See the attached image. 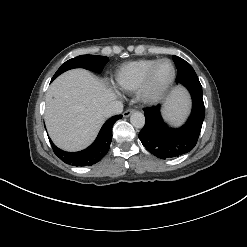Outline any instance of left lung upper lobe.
<instances>
[{
	"label": "left lung upper lobe",
	"mask_w": 247,
	"mask_h": 247,
	"mask_svg": "<svg viewBox=\"0 0 247 247\" xmlns=\"http://www.w3.org/2000/svg\"><path fill=\"white\" fill-rule=\"evenodd\" d=\"M178 73L176 77L177 83H185L187 81H198V77L191 65L178 56H173Z\"/></svg>",
	"instance_id": "1"
}]
</instances>
